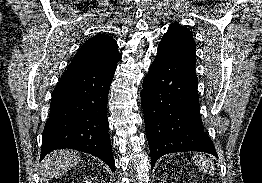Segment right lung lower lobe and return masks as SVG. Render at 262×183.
Instances as JSON below:
<instances>
[{"instance_id":"obj_1","label":"right lung lower lobe","mask_w":262,"mask_h":183,"mask_svg":"<svg viewBox=\"0 0 262 183\" xmlns=\"http://www.w3.org/2000/svg\"><path fill=\"white\" fill-rule=\"evenodd\" d=\"M116 67L64 72L52 93L40 160L55 149L69 148L92 154L115 171L107 99Z\"/></svg>"}]
</instances>
